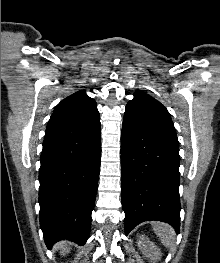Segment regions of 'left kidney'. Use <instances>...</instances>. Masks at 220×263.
Here are the masks:
<instances>
[{
    "instance_id": "obj_1",
    "label": "left kidney",
    "mask_w": 220,
    "mask_h": 263,
    "mask_svg": "<svg viewBox=\"0 0 220 263\" xmlns=\"http://www.w3.org/2000/svg\"><path fill=\"white\" fill-rule=\"evenodd\" d=\"M137 244L147 257L153 260H158L160 258L161 252L159 248L151 242L147 236L140 235Z\"/></svg>"
}]
</instances>
